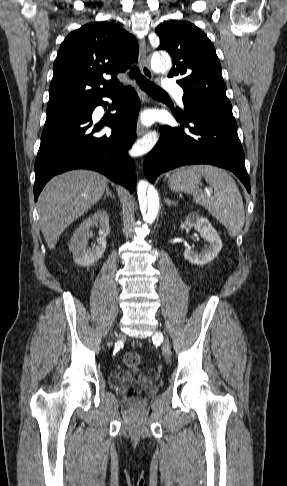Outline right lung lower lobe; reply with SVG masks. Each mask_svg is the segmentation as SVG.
<instances>
[{
	"mask_svg": "<svg viewBox=\"0 0 287 486\" xmlns=\"http://www.w3.org/2000/svg\"><path fill=\"white\" fill-rule=\"evenodd\" d=\"M106 97L117 100L116 113L106 123L110 135H97L105 122L92 121L93 110L107 106L102 98L85 105L80 115L45 123L35 161V200L53 176L72 169L95 170L130 192L135 189V165L126 152L136 139L140 100L131 87Z\"/></svg>",
	"mask_w": 287,
	"mask_h": 486,
	"instance_id": "obj_1",
	"label": "right lung lower lobe"
}]
</instances>
